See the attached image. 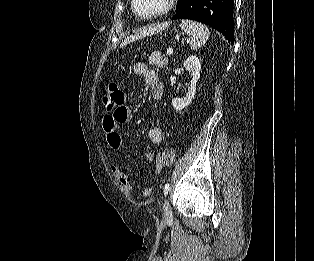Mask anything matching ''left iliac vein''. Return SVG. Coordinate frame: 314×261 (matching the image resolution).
I'll list each match as a JSON object with an SVG mask.
<instances>
[{
    "label": "left iliac vein",
    "instance_id": "4c4485c4",
    "mask_svg": "<svg viewBox=\"0 0 314 261\" xmlns=\"http://www.w3.org/2000/svg\"><path fill=\"white\" fill-rule=\"evenodd\" d=\"M162 211H163V216L165 219H168L171 217L172 215L171 208L167 199L164 200Z\"/></svg>",
    "mask_w": 314,
    "mask_h": 261
}]
</instances>
